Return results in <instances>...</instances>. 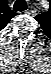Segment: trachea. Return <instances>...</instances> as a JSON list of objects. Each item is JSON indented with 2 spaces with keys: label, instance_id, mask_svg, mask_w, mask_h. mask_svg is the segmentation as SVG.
I'll list each match as a JSON object with an SVG mask.
<instances>
[{
  "label": "trachea",
  "instance_id": "trachea-1",
  "mask_svg": "<svg viewBox=\"0 0 51 74\" xmlns=\"http://www.w3.org/2000/svg\"><path fill=\"white\" fill-rule=\"evenodd\" d=\"M13 9L15 11H24L27 10V3L24 0H16V2L13 5Z\"/></svg>",
  "mask_w": 51,
  "mask_h": 74
}]
</instances>
